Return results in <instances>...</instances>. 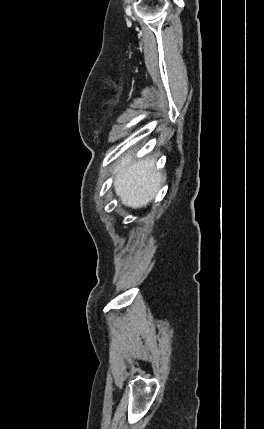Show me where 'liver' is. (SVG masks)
I'll list each match as a JSON object with an SVG mask.
<instances>
[{"instance_id": "obj_1", "label": "liver", "mask_w": 264, "mask_h": 429, "mask_svg": "<svg viewBox=\"0 0 264 429\" xmlns=\"http://www.w3.org/2000/svg\"><path fill=\"white\" fill-rule=\"evenodd\" d=\"M133 155L132 151L126 153L116 166L114 188L122 204L137 209L153 200L164 177L155 170V157L133 161Z\"/></svg>"}]
</instances>
